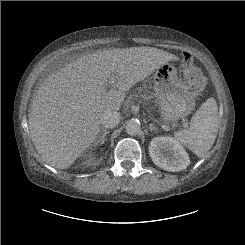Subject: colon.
<instances>
[{
  "label": "colon",
  "mask_w": 245,
  "mask_h": 245,
  "mask_svg": "<svg viewBox=\"0 0 245 245\" xmlns=\"http://www.w3.org/2000/svg\"><path fill=\"white\" fill-rule=\"evenodd\" d=\"M179 69L181 77L187 83L191 93L194 96L201 95L206 88L207 78L196 66L194 58L189 52H182Z\"/></svg>",
  "instance_id": "obj_1"
}]
</instances>
